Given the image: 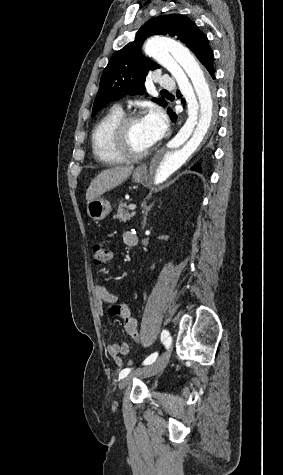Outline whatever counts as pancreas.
Segmentation results:
<instances>
[{
	"label": "pancreas",
	"instance_id": "pancreas-1",
	"mask_svg": "<svg viewBox=\"0 0 283 475\" xmlns=\"http://www.w3.org/2000/svg\"><path fill=\"white\" fill-rule=\"evenodd\" d=\"M125 208H127L125 202L121 200L119 202L117 214L113 216L114 220H120V222H127V220H130L132 218L133 214H129V212H126Z\"/></svg>",
	"mask_w": 283,
	"mask_h": 475
}]
</instances>
